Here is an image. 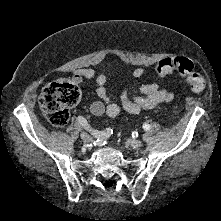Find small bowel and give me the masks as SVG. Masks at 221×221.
Masks as SVG:
<instances>
[{"label":"small bowel","instance_id":"small-bowel-1","mask_svg":"<svg viewBox=\"0 0 221 221\" xmlns=\"http://www.w3.org/2000/svg\"><path fill=\"white\" fill-rule=\"evenodd\" d=\"M107 68H102L98 73L91 68L77 69L73 72V82L81 84L83 80L88 79L96 83V93L101 101H94L90 106V111L96 116L107 115L110 118L116 117L121 108L129 114H138L144 110L153 109L159 105L168 103L172 100V93L163 88L159 83L153 82L140 85L138 93L133 94L124 91L120 95V104L114 102L106 88ZM146 72L145 67H138L131 73L133 78H140Z\"/></svg>","mask_w":221,"mask_h":221}]
</instances>
